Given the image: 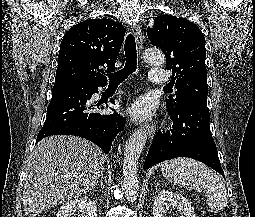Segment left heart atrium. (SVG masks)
<instances>
[{
  "instance_id": "left-heart-atrium-1",
  "label": "left heart atrium",
  "mask_w": 255,
  "mask_h": 217,
  "mask_svg": "<svg viewBox=\"0 0 255 217\" xmlns=\"http://www.w3.org/2000/svg\"><path fill=\"white\" fill-rule=\"evenodd\" d=\"M154 106L147 98H140L136 100L128 108L129 115L136 121H145L152 117Z\"/></svg>"
}]
</instances>
